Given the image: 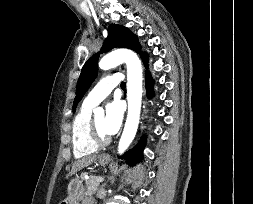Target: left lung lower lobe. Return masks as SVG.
<instances>
[{
	"label": "left lung lower lobe",
	"instance_id": "left-lung-lower-lobe-1",
	"mask_svg": "<svg viewBox=\"0 0 253 204\" xmlns=\"http://www.w3.org/2000/svg\"><path fill=\"white\" fill-rule=\"evenodd\" d=\"M142 60L147 68L148 67V56L144 55L142 57ZM152 87H153V82L151 79V75L148 71H146V90H147L148 97H150L152 95V92H153ZM144 145H145V137H143L141 139L139 144L134 149L126 152L121 158H126L127 163L131 164V165H132V163H136V162L140 161L142 158V150L144 148Z\"/></svg>",
	"mask_w": 253,
	"mask_h": 204
}]
</instances>
